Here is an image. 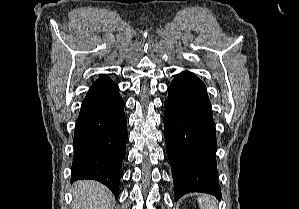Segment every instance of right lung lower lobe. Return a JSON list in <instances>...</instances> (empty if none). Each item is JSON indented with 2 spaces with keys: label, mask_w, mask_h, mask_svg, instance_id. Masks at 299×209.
I'll return each mask as SVG.
<instances>
[{
  "label": "right lung lower lobe",
  "mask_w": 299,
  "mask_h": 209,
  "mask_svg": "<svg viewBox=\"0 0 299 209\" xmlns=\"http://www.w3.org/2000/svg\"><path fill=\"white\" fill-rule=\"evenodd\" d=\"M118 86L106 76L85 96L74 132L72 179H93L117 198L127 140V119Z\"/></svg>",
  "instance_id": "1"
}]
</instances>
